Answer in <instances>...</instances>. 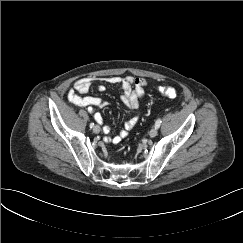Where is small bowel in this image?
<instances>
[{"label": "small bowel", "instance_id": "c3829d8e", "mask_svg": "<svg viewBox=\"0 0 243 243\" xmlns=\"http://www.w3.org/2000/svg\"><path fill=\"white\" fill-rule=\"evenodd\" d=\"M104 81L108 84L118 87L121 91V99L123 104L131 109L137 110L140 106V101L145 96V88L149 85L148 80L140 77H107L104 79L98 77H84L76 80L73 87L68 92V99L71 103L88 108L90 113L94 114V118L97 122H102L103 118L100 113L94 111V107L103 108L107 106V102L99 97L83 96L93 83L98 81ZM106 87L103 84L98 85L100 92L105 91ZM140 116H134L127 120L124 124V128L120 130L116 135L107 137L106 140L114 144H118L122 139L127 137L128 132L138 123ZM105 133H109L111 128L108 125L103 127Z\"/></svg>", "mask_w": 243, "mask_h": 243}]
</instances>
